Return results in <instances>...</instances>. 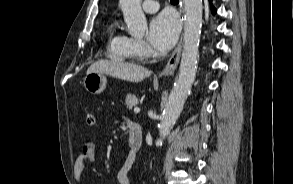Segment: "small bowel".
<instances>
[{
	"label": "small bowel",
	"instance_id": "obj_1",
	"mask_svg": "<svg viewBox=\"0 0 293 184\" xmlns=\"http://www.w3.org/2000/svg\"><path fill=\"white\" fill-rule=\"evenodd\" d=\"M136 155H133L130 151L125 158L123 164L117 172V180L119 184H131L130 171L135 163ZM95 161V144L92 141H85L81 146V151L76 158L73 166V172L75 179L81 181L85 167L94 163Z\"/></svg>",
	"mask_w": 293,
	"mask_h": 184
}]
</instances>
